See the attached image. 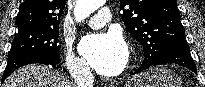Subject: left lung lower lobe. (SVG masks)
I'll return each instance as SVG.
<instances>
[{"label":"left lung lower lobe","mask_w":205,"mask_h":87,"mask_svg":"<svg viewBox=\"0 0 205 87\" xmlns=\"http://www.w3.org/2000/svg\"><path fill=\"white\" fill-rule=\"evenodd\" d=\"M169 63L178 64L190 69L194 73H197L196 65L191 57L190 48L185 39L177 40L168 45L158 60L153 63L143 62L136 72L138 73L140 71L148 69L151 66Z\"/></svg>","instance_id":"0a47b994"}]
</instances>
